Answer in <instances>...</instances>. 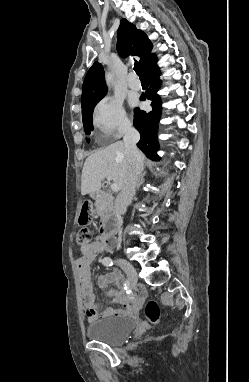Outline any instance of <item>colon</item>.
<instances>
[{
	"instance_id": "1",
	"label": "colon",
	"mask_w": 249,
	"mask_h": 382,
	"mask_svg": "<svg viewBox=\"0 0 249 382\" xmlns=\"http://www.w3.org/2000/svg\"><path fill=\"white\" fill-rule=\"evenodd\" d=\"M92 205L89 202H85L81 207V212L79 215V223L82 228L78 231L76 236L77 243L82 246L90 241L91 234L87 225L92 221ZM144 314L146 317V322L142 324L144 329H149L151 325H155L159 322L161 317V312L159 305L155 300H148L144 306Z\"/></svg>"
}]
</instances>
